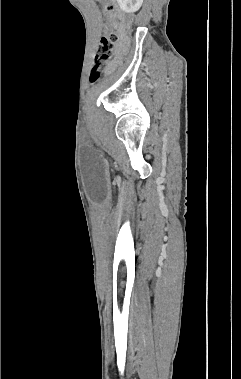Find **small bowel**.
I'll return each mask as SVG.
<instances>
[{"label":"small bowel","instance_id":"1","mask_svg":"<svg viewBox=\"0 0 241 379\" xmlns=\"http://www.w3.org/2000/svg\"><path fill=\"white\" fill-rule=\"evenodd\" d=\"M110 25L113 26V27H118L119 31L124 34V32H125V22H124L123 18H122V21H121L120 24L117 25L116 23H111Z\"/></svg>","mask_w":241,"mask_h":379}]
</instances>
